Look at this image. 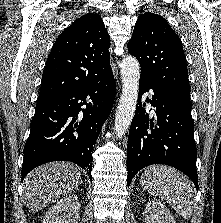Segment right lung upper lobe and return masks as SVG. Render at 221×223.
<instances>
[{"label":"right lung upper lobe","mask_w":221,"mask_h":223,"mask_svg":"<svg viewBox=\"0 0 221 223\" xmlns=\"http://www.w3.org/2000/svg\"><path fill=\"white\" fill-rule=\"evenodd\" d=\"M110 38L101 17L88 13L56 39L47 58L37 104L69 94L105 75Z\"/></svg>","instance_id":"obj_1"}]
</instances>
